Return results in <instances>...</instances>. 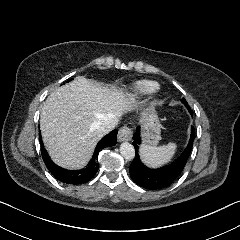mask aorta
I'll list each match as a JSON object with an SVG mask.
<instances>
[{
	"instance_id": "1",
	"label": "aorta",
	"mask_w": 240,
	"mask_h": 240,
	"mask_svg": "<svg viewBox=\"0 0 240 240\" xmlns=\"http://www.w3.org/2000/svg\"><path fill=\"white\" fill-rule=\"evenodd\" d=\"M120 153L126 160H132L135 157V150L132 144L124 142L120 145Z\"/></svg>"
}]
</instances>
